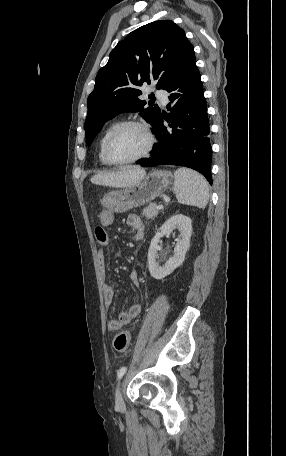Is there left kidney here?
<instances>
[{"instance_id":"1","label":"left kidney","mask_w":286,"mask_h":456,"mask_svg":"<svg viewBox=\"0 0 286 456\" xmlns=\"http://www.w3.org/2000/svg\"><path fill=\"white\" fill-rule=\"evenodd\" d=\"M178 229L180 240L174 248V255L170 257L163 266L157 262L160 238L170 234L173 230ZM192 234L191 219L183 214H177L168 219L151 240L148 250V267L150 275L157 279H163L179 267L185 259L186 252L190 247V238Z\"/></svg>"}]
</instances>
